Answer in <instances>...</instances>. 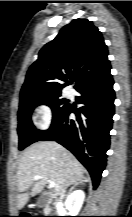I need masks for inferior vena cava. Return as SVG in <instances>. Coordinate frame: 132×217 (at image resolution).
<instances>
[{
    "instance_id": "inferior-vena-cava-1",
    "label": "inferior vena cava",
    "mask_w": 132,
    "mask_h": 217,
    "mask_svg": "<svg viewBox=\"0 0 132 217\" xmlns=\"http://www.w3.org/2000/svg\"><path fill=\"white\" fill-rule=\"evenodd\" d=\"M64 192H65V190L62 191V194H61L62 196L64 195Z\"/></svg>"
}]
</instances>
